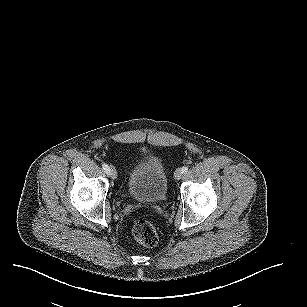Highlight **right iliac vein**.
Returning <instances> with one entry per match:
<instances>
[{"label": "right iliac vein", "instance_id": "63e3f726", "mask_svg": "<svg viewBox=\"0 0 307 307\" xmlns=\"http://www.w3.org/2000/svg\"><path fill=\"white\" fill-rule=\"evenodd\" d=\"M109 172H108V175H110L113 179H116L117 178V171L115 169V167L113 165H110L109 167Z\"/></svg>", "mask_w": 307, "mask_h": 307}]
</instances>
